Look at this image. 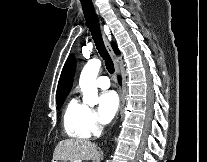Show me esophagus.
<instances>
[{
  "instance_id": "34e87169",
  "label": "esophagus",
  "mask_w": 207,
  "mask_h": 162,
  "mask_svg": "<svg viewBox=\"0 0 207 162\" xmlns=\"http://www.w3.org/2000/svg\"><path fill=\"white\" fill-rule=\"evenodd\" d=\"M94 6H95V4H94ZM95 11H96V14L99 15V12H98V9L96 8V6H95ZM101 29H102V25H101ZM103 38H104V42H105L106 49H107V51L109 52V54L111 55V57H112V59H113V61H114L116 74H118V73H119V66H118L116 57H115V55H114V53H113V51H112V48H111V46H110V44H109V41L111 40V38H110V37L107 38L104 34H103ZM122 106H123V93H122V91L120 90V107H119V110H118V112H117L115 122L117 121V119H118V117H119V112H120Z\"/></svg>"
}]
</instances>
